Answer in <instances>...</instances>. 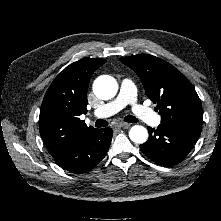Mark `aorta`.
I'll use <instances>...</instances> for the list:
<instances>
[{"label":"aorta","mask_w":221,"mask_h":221,"mask_svg":"<svg viewBox=\"0 0 221 221\" xmlns=\"http://www.w3.org/2000/svg\"><path fill=\"white\" fill-rule=\"evenodd\" d=\"M118 90L116 80L108 75L98 77L93 83L94 94L102 100L113 98ZM130 139L138 144H142L148 139V131L145 127L140 125L133 126L129 131Z\"/></svg>","instance_id":"762f6f07"}]
</instances>
